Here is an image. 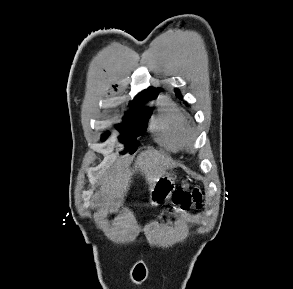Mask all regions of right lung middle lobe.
I'll return each mask as SVG.
<instances>
[{"mask_svg":"<svg viewBox=\"0 0 293 289\" xmlns=\"http://www.w3.org/2000/svg\"><path fill=\"white\" fill-rule=\"evenodd\" d=\"M144 101L132 103L128 117L124 118V123L118 126L121 132L120 141L125 144L130 152L136 151L138 144L136 137L145 133L147 122L151 116L150 111H138ZM108 134L102 136V140L107 138Z\"/></svg>","mask_w":293,"mask_h":289,"instance_id":"right-lung-middle-lobe-1","label":"right lung middle lobe"}]
</instances>
